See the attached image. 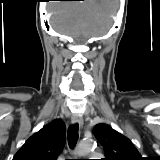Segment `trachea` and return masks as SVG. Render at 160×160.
I'll return each mask as SVG.
<instances>
[{
  "instance_id": "1",
  "label": "trachea",
  "mask_w": 160,
  "mask_h": 160,
  "mask_svg": "<svg viewBox=\"0 0 160 160\" xmlns=\"http://www.w3.org/2000/svg\"><path fill=\"white\" fill-rule=\"evenodd\" d=\"M78 127V124H74L68 128V144L71 149L76 145L78 141Z\"/></svg>"
}]
</instances>
